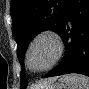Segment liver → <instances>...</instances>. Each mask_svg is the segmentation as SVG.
<instances>
[{
  "label": "liver",
  "mask_w": 89,
  "mask_h": 89,
  "mask_svg": "<svg viewBox=\"0 0 89 89\" xmlns=\"http://www.w3.org/2000/svg\"><path fill=\"white\" fill-rule=\"evenodd\" d=\"M56 78H51L43 81L40 85L35 86L37 88H32V89H47L48 87L51 86L55 82Z\"/></svg>",
  "instance_id": "1"
}]
</instances>
